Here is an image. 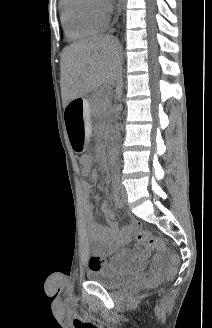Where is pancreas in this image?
Returning <instances> with one entry per match:
<instances>
[{
    "instance_id": "obj_1",
    "label": "pancreas",
    "mask_w": 212,
    "mask_h": 328,
    "mask_svg": "<svg viewBox=\"0 0 212 328\" xmlns=\"http://www.w3.org/2000/svg\"><path fill=\"white\" fill-rule=\"evenodd\" d=\"M109 107V100L104 91H98L94 95L93 109L99 115H106Z\"/></svg>"
}]
</instances>
